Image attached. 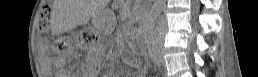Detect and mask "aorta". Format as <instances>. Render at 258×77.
I'll return each instance as SVG.
<instances>
[{
	"mask_svg": "<svg viewBox=\"0 0 258 77\" xmlns=\"http://www.w3.org/2000/svg\"><path fill=\"white\" fill-rule=\"evenodd\" d=\"M163 2H164V0H155L154 1V4L149 12V16L151 18H155L161 13V11L163 9Z\"/></svg>",
	"mask_w": 258,
	"mask_h": 77,
	"instance_id": "obj_1",
	"label": "aorta"
}]
</instances>
